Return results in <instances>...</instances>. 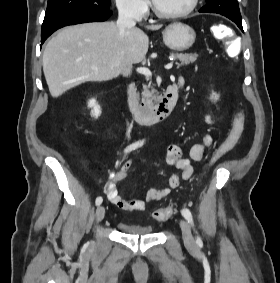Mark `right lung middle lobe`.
Returning a JSON list of instances; mask_svg holds the SVG:
<instances>
[{"mask_svg": "<svg viewBox=\"0 0 280 283\" xmlns=\"http://www.w3.org/2000/svg\"><path fill=\"white\" fill-rule=\"evenodd\" d=\"M111 0H48L45 17L66 12H94L109 11Z\"/></svg>", "mask_w": 280, "mask_h": 283, "instance_id": "right-lung-middle-lobe-1", "label": "right lung middle lobe"}]
</instances>
